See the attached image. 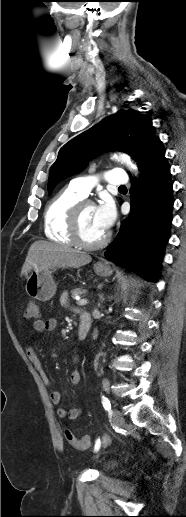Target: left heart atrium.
<instances>
[{
  "instance_id": "1",
  "label": "left heart atrium",
  "mask_w": 186,
  "mask_h": 517,
  "mask_svg": "<svg viewBox=\"0 0 186 517\" xmlns=\"http://www.w3.org/2000/svg\"><path fill=\"white\" fill-rule=\"evenodd\" d=\"M95 217L99 225L108 230L115 221L116 209L109 197H104L98 206L95 207Z\"/></svg>"
}]
</instances>
